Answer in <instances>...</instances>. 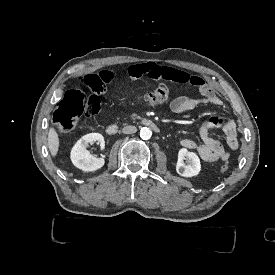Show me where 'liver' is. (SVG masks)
I'll use <instances>...</instances> for the list:
<instances>
[{
    "label": "liver",
    "mask_w": 275,
    "mask_h": 275,
    "mask_svg": "<svg viewBox=\"0 0 275 275\" xmlns=\"http://www.w3.org/2000/svg\"><path fill=\"white\" fill-rule=\"evenodd\" d=\"M48 148L52 156H56L59 149V137L54 128H50L48 132Z\"/></svg>",
    "instance_id": "6515ba94"
}]
</instances>
